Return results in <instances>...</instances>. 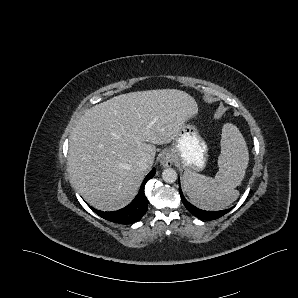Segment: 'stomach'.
<instances>
[{
  "label": "stomach",
  "instance_id": "1",
  "mask_svg": "<svg viewBox=\"0 0 298 298\" xmlns=\"http://www.w3.org/2000/svg\"><path fill=\"white\" fill-rule=\"evenodd\" d=\"M167 153L183 170L198 173L204 171L207 166L209 145L197 125L185 120L161 157ZM183 187H185L184 181Z\"/></svg>",
  "mask_w": 298,
  "mask_h": 298
}]
</instances>
